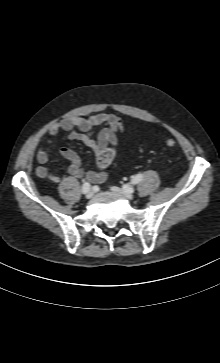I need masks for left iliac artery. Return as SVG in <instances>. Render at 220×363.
I'll list each match as a JSON object with an SVG mask.
<instances>
[{"instance_id":"44dca946","label":"left iliac artery","mask_w":220,"mask_h":363,"mask_svg":"<svg viewBox=\"0 0 220 363\" xmlns=\"http://www.w3.org/2000/svg\"><path fill=\"white\" fill-rule=\"evenodd\" d=\"M142 179H143V175L142 174H137V175H135V176L132 177L131 183L132 184H138L139 182L142 181ZM124 189L125 190H128L129 189V186L128 185H125L124 186Z\"/></svg>"}]
</instances>
